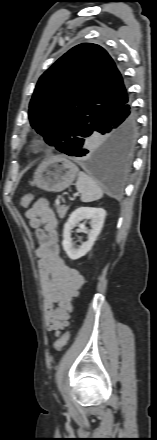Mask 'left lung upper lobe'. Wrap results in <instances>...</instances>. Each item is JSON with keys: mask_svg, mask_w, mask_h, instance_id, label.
I'll list each match as a JSON object with an SVG mask.
<instances>
[{"mask_svg": "<svg viewBox=\"0 0 157 440\" xmlns=\"http://www.w3.org/2000/svg\"><path fill=\"white\" fill-rule=\"evenodd\" d=\"M128 97L113 59L83 43L59 58L38 80L29 104L32 128L65 152L94 132L99 120Z\"/></svg>", "mask_w": 157, "mask_h": 440, "instance_id": "left-lung-upper-lobe-1", "label": "left lung upper lobe"}]
</instances>
